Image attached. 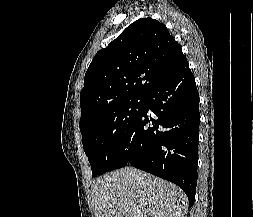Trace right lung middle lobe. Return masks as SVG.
Instances as JSON below:
<instances>
[{
	"mask_svg": "<svg viewBox=\"0 0 253 217\" xmlns=\"http://www.w3.org/2000/svg\"><path fill=\"white\" fill-rule=\"evenodd\" d=\"M145 108V97L116 103L79 125L92 176L111 170L115 155Z\"/></svg>",
	"mask_w": 253,
	"mask_h": 217,
	"instance_id": "1",
	"label": "right lung middle lobe"
}]
</instances>
